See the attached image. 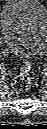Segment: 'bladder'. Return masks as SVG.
<instances>
[{
  "label": "bladder",
  "instance_id": "bladder-1",
  "mask_svg": "<svg viewBox=\"0 0 47 129\" xmlns=\"http://www.w3.org/2000/svg\"><path fill=\"white\" fill-rule=\"evenodd\" d=\"M0 24L3 41L14 54L30 57L44 49L47 11L39 0H6Z\"/></svg>",
  "mask_w": 47,
  "mask_h": 129
}]
</instances>
